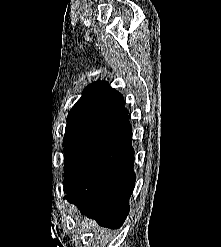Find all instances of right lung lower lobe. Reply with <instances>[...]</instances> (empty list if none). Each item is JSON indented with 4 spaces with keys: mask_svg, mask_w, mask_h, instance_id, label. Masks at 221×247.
Returning <instances> with one entry per match:
<instances>
[{
    "mask_svg": "<svg viewBox=\"0 0 221 247\" xmlns=\"http://www.w3.org/2000/svg\"><path fill=\"white\" fill-rule=\"evenodd\" d=\"M128 114L82 130L64 149L65 199L111 229L122 226L136 176Z\"/></svg>",
    "mask_w": 221,
    "mask_h": 247,
    "instance_id": "98d812e1",
    "label": "right lung lower lobe"
}]
</instances>
